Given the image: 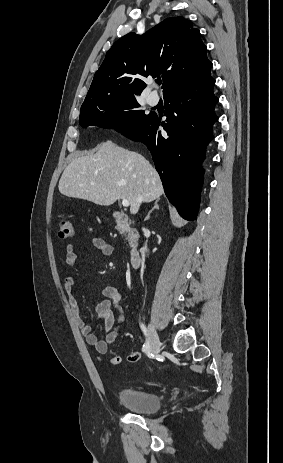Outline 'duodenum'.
<instances>
[{
  "mask_svg": "<svg viewBox=\"0 0 283 463\" xmlns=\"http://www.w3.org/2000/svg\"><path fill=\"white\" fill-rule=\"evenodd\" d=\"M114 222L117 226L126 227L128 226V216L123 212H116L114 214ZM129 232V245L130 254L129 261L133 268H138L140 265V254L138 251V234L132 229H128Z\"/></svg>",
  "mask_w": 283,
  "mask_h": 463,
  "instance_id": "1",
  "label": "duodenum"
}]
</instances>
